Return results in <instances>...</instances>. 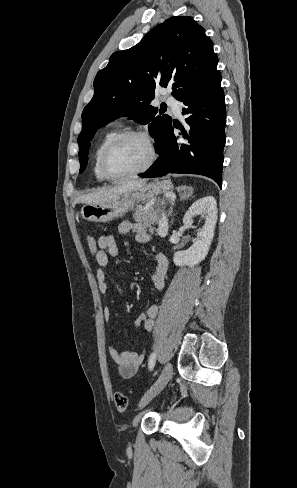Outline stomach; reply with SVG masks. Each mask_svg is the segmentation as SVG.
I'll return each mask as SVG.
<instances>
[{
    "instance_id": "0dacf381",
    "label": "stomach",
    "mask_w": 297,
    "mask_h": 488,
    "mask_svg": "<svg viewBox=\"0 0 297 488\" xmlns=\"http://www.w3.org/2000/svg\"><path fill=\"white\" fill-rule=\"evenodd\" d=\"M173 189L170 180L154 181L122 194L116 200L103 204H84L82 217L90 222L106 223L123 216L138 201H155Z\"/></svg>"
}]
</instances>
